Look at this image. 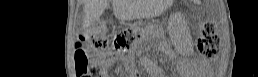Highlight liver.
Instances as JSON below:
<instances>
[{
    "mask_svg": "<svg viewBox=\"0 0 258 77\" xmlns=\"http://www.w3.org/2000/svg\"><path fill=\"white\" fill-rule=\"evenodd\" d=\"M109 0H85V18L84 25L89 26L93 24L104 13L109 5ZM114 15L121 19H131L133 16V9L130 2L125 0H112Z\"/></svg>",
    "mask_w": 258,
    "mask_h": 77,
    "instance_id": "liver-1",
    "label": "liver"
}]
</instances>
